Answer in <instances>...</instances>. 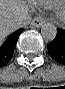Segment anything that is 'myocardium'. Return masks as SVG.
<instances>
[{"mask_svg":"<svg viewBox=\"0 0 65 89\" xmlns=\"http://www.w3.org/2000/svg\"><path fill=\"white\" fill-rule=\"evenodd\" d=\"M64 12H65V8H64V7H57V8H55L56 16H57L59 19H63V17H64Z\"/></svg>","mask_w":65,"mask_h":89,"instance_id":"myocardium-1","label":"myocardium"}]
</instances>
